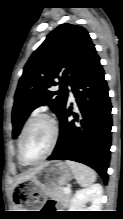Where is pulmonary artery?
<instances>
[{"label":"pulmonary artery","instance_id":"obj_1","mask_svg":"<svg viewBox=\"0 0 123 219\" xmlns=\"http://www.w3.org/2000/svg\"><path fill=\"white\" fill-rule=\"evenodd\" d=\"M69 100H74V95H73L71 90H70V93H69Z\"/></svg>","mask_w":123,"mask_h":219}]
</instances>
